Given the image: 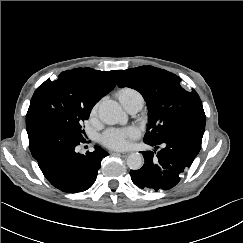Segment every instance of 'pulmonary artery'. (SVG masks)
Segmentation results:
<instances>
[{"instance_id":"obj_1","label":"pulmonary artery","mask_w":243,"mask_h":243,"mask_svg":"<svg viewBox=\"0 0 243 243\" xmlns=\"http://www.w3.org/2000/svg\"><path fill=\"white\" fill-rule=\"evenodd\" d=\"M142 107L140 102H132L131 104H129L125 109L131 113L134 114L136 113L138 110H140Z\"/></svg>"}]
</instances>
